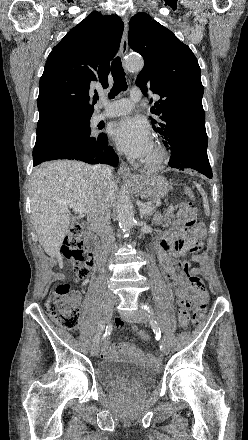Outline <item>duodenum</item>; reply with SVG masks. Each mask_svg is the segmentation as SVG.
I'll return each instance as SVG.
<instances>
[{"mask_svg":"<svg viewBox=\"0 0 248 440\" xmlns=\"http://www.w3.org/2000/svg\"><path fill=\"white\" fill-rule=\"evenodd\" d=\"M86 244L95 255H98V243L95 236L90 231L86 233Z\"/></svg>","mask_w":248,"mask_h":440,"instance_id":"410a0bca","label":"duodenum"}]
</instances>
